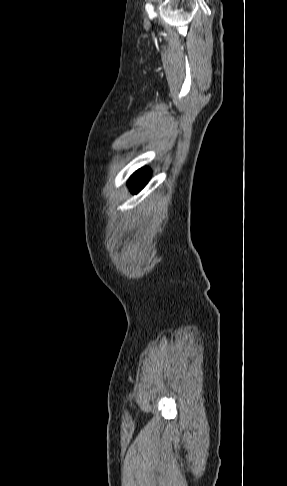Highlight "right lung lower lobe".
<instances>
[{
  "label": "right lung lower lobe",
  "mask_w": 287,
  "mask_h": 486,
  "mask_svg": "<svg viewBox=\"0 0 287 486\" xmlns=\"http://www.w3.org/2000/svg\"><path fill=\"white\" fill-rule=\"evenodd\" d=\"M149 177V170L146 168L136 171L128 182L131 192L138 193L146 185Z\"/></svg>",
  "instance_id": "obj_1"
}]
</instances>
